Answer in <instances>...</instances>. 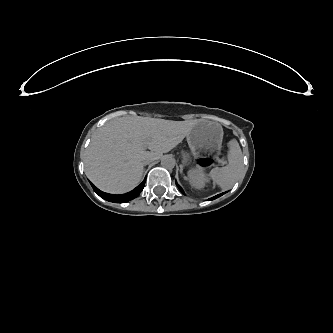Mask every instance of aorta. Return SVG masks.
Here are the masks:
<instances>
[{
  "label": "aorta",
  "instance_id": "obj_1",
  "mask_svg": "<svg viewBox=\"0 0 333 333\" xmlns=\"http://www.w3.org/2000/svg\"><path fill=\"white\" fill-rule=\"evenodd\" d=\"M175 158L173 155H164L161 158V165L167 169H172L175 166Z\"/></svg>",
  "mask_w": 333,
  "mask_h": 333
}]
</instances>
